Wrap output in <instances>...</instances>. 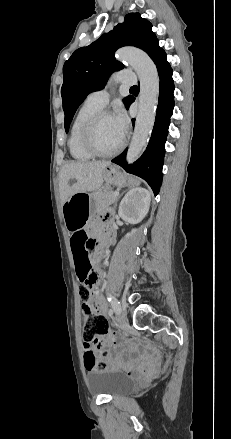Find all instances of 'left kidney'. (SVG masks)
I'll use <instances>...</instances> for the list:
<instances>
[{"instance_id":"left-kidney-1","label":"left kidney","mask_w":231,"mask_h":439,"mask_svg":"<svg viewBox=\"0 0 231 439\" xmlns=\"http://www.w3.org/2000/svg\"><path fill=\"white\" fill-rule=\"evenodd\" d=\"M151 196L148 190L136 187L127 192L119 205V216L132 224L141 222L149 211ZM136 232L133 229L126 235V238Z\"/></svg>"}]
</instances>
